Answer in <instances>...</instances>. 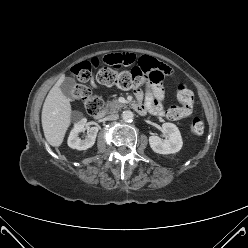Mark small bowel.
I'll list each match as a JSON object with an SVG mask.
<instances>
[{
	"instance_id": "1",
	"label": "small bowel",
	"mask_w": 248,
	"mask_h": 248,
	"mask_svg": "<svg viewBox=\"0 0 248 248\" xmlns=\"http://www.w3.org/2000/svg\"><path fill=\"white\" fill-rule=\"evenodd\" d=\"M102 61L104 63L114 66L133 65L137 63L140 68L144 71L154 70L156 78L165 76L166 74L170 73L169 67L159 62L155 58L150 56H144L137 60L136 56L130 52L109 54L106 55L102 59ZM91 84L93 86H96L94 81H91ZM136 94L139 100L144 99L143 105L138 103L142 106L144 111L147 110L153 114L164 115V110L162 108V102L164 100V91L159 85L155 86L152 91L147 89L145 90V92L138 91Z\"/></svg>"
}]
</instances>
